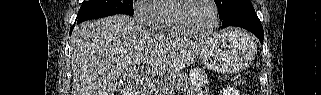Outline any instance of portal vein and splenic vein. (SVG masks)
Returning a JSON list of instances; mask_svg holds the SVG:
<instances>
[{
    "instance_id": "obj_1",
    "label": "portal vein and splenic vein",
    "mask_w": 321,
    "mask_h": 95,
    "mask_svg": "<svg viewBox=\"0 0 321 95\" xmlns=\"http://www.w3.org/2000/svg\"><path fill=\"white\" fill-rule=\"evenodd\" d=\"M144 69V64H139V66L134 70L133 73H131L132 77H135V80L137 83L141 85H146L148 87H155L159 85V81L157 80H152L148 77H137L138 71Z\"/></svg>"
}]
</instances>
